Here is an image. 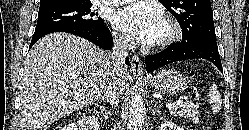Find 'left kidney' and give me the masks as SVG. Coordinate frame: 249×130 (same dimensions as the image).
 Listing matches in <instances>:
<instances>
[{"mask_svg": "<svg viewBox=\"0 0 249 130\" xmlns=\"http://www.w3.org/2000/svg\"><path fill=\"white\" fill-rule=\"evenodd\" d=\"M159 130H184L181 126H177L173 122L167 121L164 122Z\"/></svg>", "mask_w": 249, "mask_h": 130, "instance_id": "5707ae66", "label": "left kidney"}]
</instances>
